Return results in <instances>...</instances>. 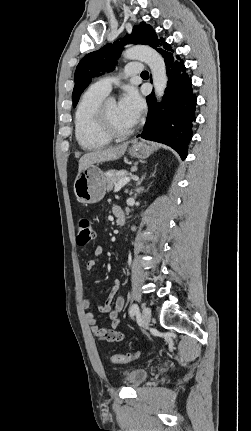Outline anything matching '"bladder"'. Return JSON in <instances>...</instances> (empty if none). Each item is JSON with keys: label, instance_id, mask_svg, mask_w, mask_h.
<instances>
[{"label": "bladder", "instance_id": "31cf9c89", "mask_svg": "<svg viewBox=\"0 0 251 431\" xmlns=\"http://www.w3.org/2000/svg\"><path fill=\"white\" fill-rule=\"evenodd\" d=\"M148 372L145 369H129L122 373L123 380L131 386H138L146 381Z\"/></svg>", "mask_w": 251, "mask_h": 431}]
</instances>
